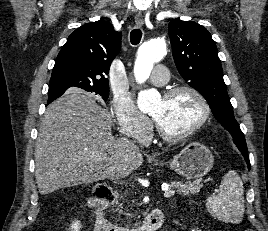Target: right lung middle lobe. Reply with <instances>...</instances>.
I'll return each mask as SVG.
<instances>
[{"instance_id":"1","label":"right lung middle lobe","mask_w":268,"mask_h":231,"mask_svg":"<svg viewBox=\"0 0 268 231\" xmlns=\"http://www.w3.org/2000/svg\"><path fill=\"white\" fill-rule=\"evenodd\" d=\"M65 92V89L63 88H51L49 89L48 95H61ZM92 92H95L97 94H99L100 96H102L103 100L106 101L108 99L109 96V89L106 90H94Z\"/></svg>"}]
</instances>
